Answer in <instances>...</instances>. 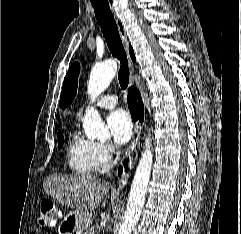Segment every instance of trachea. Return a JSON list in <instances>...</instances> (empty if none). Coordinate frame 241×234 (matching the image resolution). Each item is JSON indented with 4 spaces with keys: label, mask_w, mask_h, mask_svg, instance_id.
Returning <instances> with one entry per match:
<instances>
[{
    "label": "trachea",
    "mask_w": 241,
    "mask_h": 234,
    "mask_svg": "<svg viewBox=\"0 0 241 234\" xmlns=\"http://www.w3.org/2000/svg\"><path fill=\"white\" fill-rule=\"evenodd\" d=\"M91 2L109 50L120 61L118 80L121 88L126 89L129 83L128 60L109 3L107 0H91Z\"/></svg>",
    "instance_id": "trachea-1"
}]
</instances>
